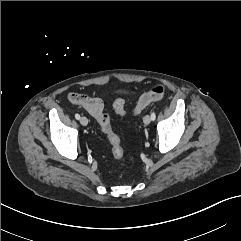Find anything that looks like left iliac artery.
<instances>
[{
  "label": "left iliac artery",
  "instance_id": "obj_1",
  "mask_svg": "<svg viewBox=\"0 0 241 241\" xmlns=\"http://www.w3.org/2000/svg\"><path fill=\"white\" fill-rule=\"evenodd\" d=\"M155 118H156V114L153 112V113L151 114V119H152V120H155Z\"/></svg>",
  "mask_w": 241,
  "mask_h": 241
}]
</instances>
